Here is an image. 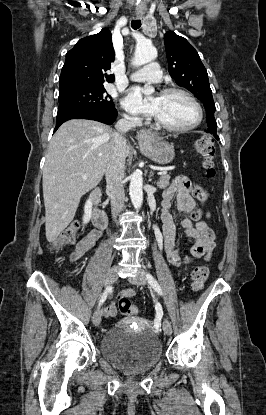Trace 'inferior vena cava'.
<instances>
[{
  "label": "inferior vena cava",
  "instance_id": "obj_1",
  "mask_svg": "<svg viewBox=\"0 0 266 415\" xmlns=\"http://www.w3.org/2000/svg\"><path fill=\"white\" fill-rule=\"evenodd\" d=\"M135 117L125 116L116 125L112 136V148L106 165L105 176L107 191L111 198V212L115 217L124 208L125 192L123 178L125 176L126 139L124 134L139 125Z\"/></svg>",
  "mask_w": 266,
  "mask_h": 415
}]
</instances>
